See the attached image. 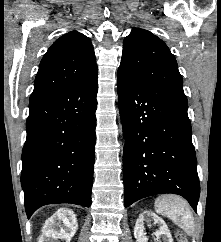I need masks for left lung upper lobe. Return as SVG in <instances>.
<instances>
[{
  "label": "left lung upper lobe",
  "mask_w": 221,
  "mask_h": 242,
  "mask_svg": "<svg viewBox=\"0 0 221 242\" xmlns=\"http://www.w3.org/2000/svg\"><path fill=\"white\" fill-rule=\"evenodd\" d=\"M119 69L157 94L188 103L174 55L147 30L133 28L124 39Z\"/></svg>",
  "instance_id": "obj_1"
}]
</instances>
